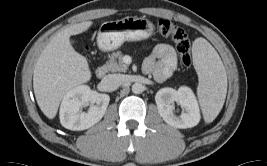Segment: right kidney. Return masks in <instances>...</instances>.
I'll return each mask as SVG.
<instances>
[{
	"label": "right kidney",
	"instance_id": "ca27d5eb",
	"mask_svg": "<svg viewBox=\"0 0 267 166\" xmlns=\"http://www.w3.org/2000/svg\"><path fill=\"white\" fill-rule=\"evenodd\" d=\"M109 101V95L91 90L87 85H79L64 96L59 113L60 122L69 130L88 129L102 119ZM89 103L88 112H81L80 109Z\"/></svg>",
	"mask_w": 267,
	"mask_h": 166
}]
</instances>
